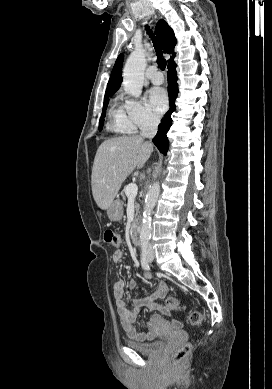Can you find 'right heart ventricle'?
Instances as JSON below:
<instances>
[{"instance_id":"right-heart-ventricle-1","label":"right heart ventricle","mask_w":272,"mask_h":389,"mask_svg":"<svg viewBox=\"0 0 272 389\" xmlns=\"http://www.w3.org/2000/svg\"><path fill=\"white\" fill-rule=\"evenodd\" d=\"M109 129L116 134H129L134 128L126 114L124 106L114 99L109 109Z\"/></svg>"}]
</instances>
